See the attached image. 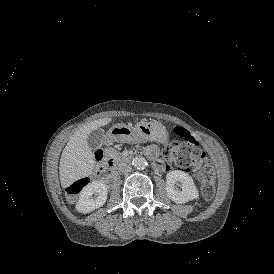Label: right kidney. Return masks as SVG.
I'll return each instance as SVG.
<instances>
[{"label":"right kidney","mask_w":274,"mask_h":274,"mask_svg":"<svg viewBox=\"0 0 274 274\" xmlns=\"http://www.w3.org/2000/svg\"><path fill=\"white\" fill-rule=\"evenodd\" d=\"M107 199V186L100 181L87 184L80 192L77 210L87 213L101 207Z\"/></svg>","instance_id":"1"}]
</instances>
